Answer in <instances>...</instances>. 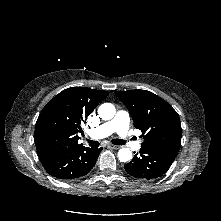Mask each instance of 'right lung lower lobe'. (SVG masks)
I'll return each instance as SVG.
<instances>
[{"label": "right lung lower lobe", "mask_w": 221, "mask_h": 221, "mask_svg": "<svg viewBox=\"0 0 221 221\" xmlns=\"http://www.w3.org/2000/svg\"><path fill=\"white\" fill-rule=\"evenodd\" d=\"M102 148L94 149L82 144L60 147L38 154L39 159L51 176L74 180L86 175L95 165Z\"/></svg>", "instance_id": "obj_1"}]
</instances>
